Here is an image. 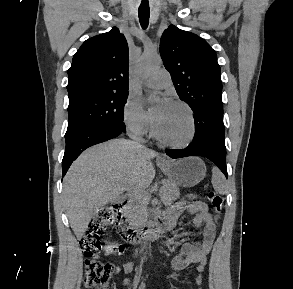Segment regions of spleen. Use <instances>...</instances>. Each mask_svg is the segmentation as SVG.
Here are the masks:
<instances>
[{"label":"spleen","instance_id":"3e777b00","mask_svg":"<svg viewBox=\"0 0 293 289\" xmlns=\"http://www.w3.org/2000/svg\"><path fill=\"white\" fill-rule=\"evenodd\" d=\"M212 185L215 191L219 194H225L227 192L226 180L223 174L215 167L212 169Z\"/></svg>","mask_w":293,"mask_h":289}]
</instances>
